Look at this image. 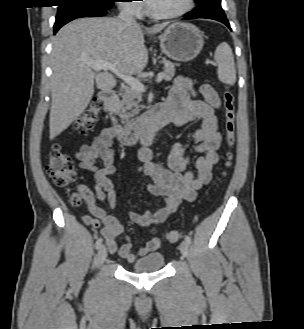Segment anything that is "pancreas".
I'll return each instance as SVG.
<instances>
[{
	"label": "pancreas",
	"instance_id": "obj_1",
	"mask_svg": "<svg viewBox=\"0 0 304 329\" xmlns=\"http://www.w3.org/2000/svg\"><path fill=\"white\" fill-rule=\"evenodd\" d=\"M164 79L170 81L175 74V66L178 64L172 63L169 60H164ZM122 99L117 103V113L125 123V127H130L133 123L132 117L139 113V103L142 100L141 92H138L131 87H125L121 94Z\"/></svg>",
	"mask_w": 304,
	"mask_h": 329
}]
</instances>
